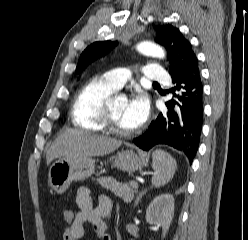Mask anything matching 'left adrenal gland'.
<instances>
[{
	"mask_svg": "<svg viewBox=\"0 0 248 240\" xmlns=\"http://www.w3.org/2000/svg\"><path fill=\"white\" fill-rule=\"evenodd\" d=\"M148 190L144 189V191H141V193L138 194L135 203H134V207H136L138 205V203L140 202L141 198L146 194Z\"/></svg>",
	"mask_w": 248,
	"mask_h": 240,
	"instance_id": "obj_1",
	"label": "left adrenal gland"
}]
</instances>
